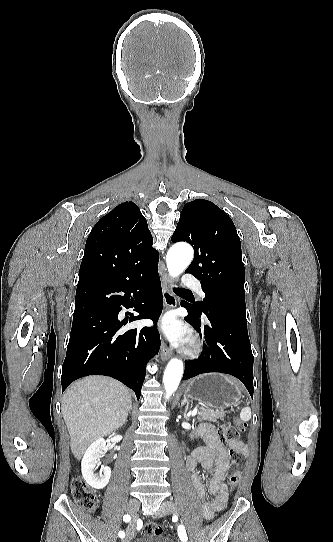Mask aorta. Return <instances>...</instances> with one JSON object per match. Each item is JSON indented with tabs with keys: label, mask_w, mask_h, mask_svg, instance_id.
Returning <instances> with one entry per match:
<instances>
[{
	"label": "aorta",
	"mask_w": 333,
	"mask_h": 542,
	"mask_svg": "<svg viewBox=\"0 0 333 542\" xmlns=\"http://www.w3.org/2000/svg\"><path fill=\"white\" fill-rule=\"evenodd\" d=\"M193 258V250L189 244H175L166 256L167 268L172 278H177L189 266ZM184 366L182 360L172 358L163 376V384L166 392V400L176 392L183 376Z\"/></svg>",
	"instance_id": "1"
}]
</instances>
